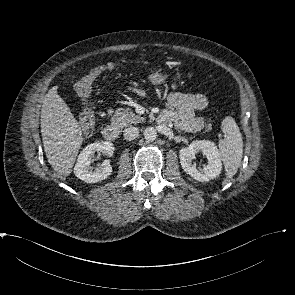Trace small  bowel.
Masks as SVG:
<instances>
[{
    "mask_svg": "<svg viewBox=\"0 0 295 295\" xmlns=\"http://www.w3.org/2000/svg\"><path fill=\"white\" fill-rule=\"evenodd\" d=\"M129 90L137 95L146 96V93L139 87L132 85ZM207 106V98L201 94H189L171 92L166 101V108L159 117L161 123H174L183 130L195 131L202 120L195 116L196 110L204 109Z\"/></svg>",
    "mask_w": 295,
    "mask_h": 295,
    "instance_id": "obj_1",
    "label": "small bowel"
}]
</instances>
